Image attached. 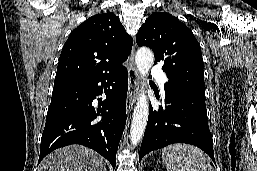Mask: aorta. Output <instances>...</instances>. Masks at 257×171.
<instances>
[{"label":"aorta","mask_w":257,"mask_h":171,"mask_svg":"<svg viewBox=\"0 0 257 171\" xmlns=\"http://www.w3.org/2000/svg\"><path fill=\"white\" fill-rule=\"evenodd\" d=\"M135 62L144 82L145 77L148 75V72L153 65L154 54L149 48L142 47L137 51ZM148 115L149 104L142 87V93L137 100L131 123L130 140L132 145H137L141 140L147 125Z\"/></svg>","instance_id":"762f6f07"}]
</instances>
